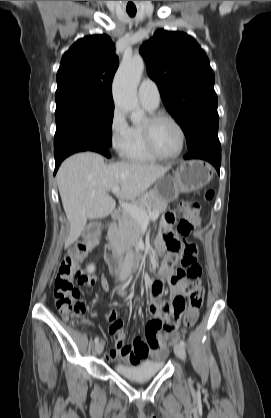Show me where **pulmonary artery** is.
Masks as SVG:
<instances>
[{"label": "pulmonary artery", "instance_id": "obj_1", "mask_svg": "<svg viewBox=\"0 0 271 418\" xmlns=\"http://www.w3.org/2000/svg\"><path fill=\"white\" fill-rule=\"evenodd\" d=\"M138 98L142 105L156 109L160 103V92L156 83L150 79L143 80L138 89Z\"/></svg>", "mask_w": 271, "mask_h": 418}]
</instances>
